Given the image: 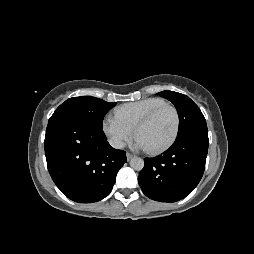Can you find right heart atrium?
Masks as SVG:
<instances>
[{
  "instance_id": "obj_1",
  "label": "right heart atrium",
  "mask_w": 254,
  "mask_h": 254,
  "mask_svg": "<svg viewBox=\"0 0 254 254\" xmlns=\"http://www.w3.org/2000/svg\"><path fill=\"white\" fill-rule=\"evenodd\" d=\"M102 130L110 144L123 148L134 135V128L121 121L116 115H107L102 121Z\"/></svg>"
}]
</instances>
